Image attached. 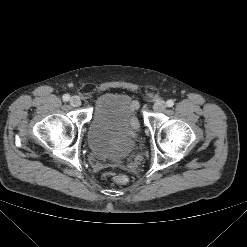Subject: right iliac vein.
Returning a JSON list of instances; mask_svg holds the SVG:
<instances>
[{
  "instance_id": "63e3f726",
  "label": "right iliac vein",
  "mask_w": 247,
  "mask_h": 247,
  "mask_svg": "<svg viewBox=\"0 0 247 247\" xmlns=\"http://www.w3.org/2000/svg\"><path fill=\"white\" fill-rule=\"evenodd\" d=\"M70 104H71L72 106H74V107H78V106L81 105V100H80L79 97L73 96V97H71V99H70Z\"/></svg>"
}]
</instances>
